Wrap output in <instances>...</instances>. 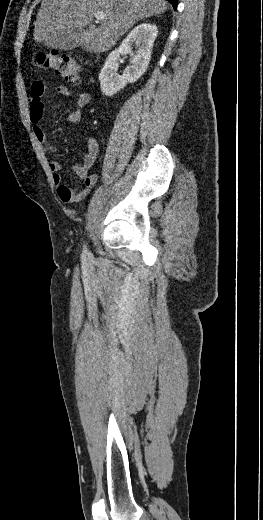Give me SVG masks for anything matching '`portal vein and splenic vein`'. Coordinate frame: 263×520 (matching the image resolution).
<instances>
[{
    "instance_id": "obj_1",
    "label": "portal vein and splenic vein",
    "mask_w": 263,
    "mask_h": 520,
    "mask_svg": "<svg viewBox=\"0 0 263 520\" xmlns=\"http://www.w3.org/2000/svg\"><path fill=\"white\" fill-rule=\"evenodd\" d=\"M105 17H106V15H105L104 13H102V12H96V13H95V18H96L97 20H102V19H104Z\"/></svg>"
}]
</instances>
